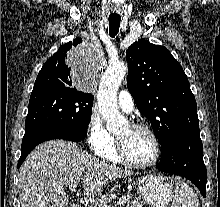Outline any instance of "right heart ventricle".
<instances>
[{
  "instance_id": "right-heart-ventricle-1",
  "label": "right heart ventricle",
  "mask_w": 220,
  "mask_h": 207,
  "mask_svg": "<svg viewBox=\"0 0 220 207\" xmlns=\"http://www.w3.org/2000/svg\"><path fill=\"white\" fill-rule=\"evenodd\" d=\"M98 155L102 159L107 160L109 162H113V163H121L122 162L116 152L115 140L111 146H109L104 151H101L100 153H98Z\"/></svg>"
}]
</instances>
